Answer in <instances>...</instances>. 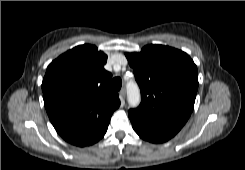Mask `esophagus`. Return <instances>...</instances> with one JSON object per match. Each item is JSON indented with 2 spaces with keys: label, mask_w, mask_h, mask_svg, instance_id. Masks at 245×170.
Here are the masks:
<instances>
[{
  "label": "esophagus",
  "mask_w": 245,
  "mask_h": 170,
  "mask_svg": "<svg viewBox=\"0 0 245 170\" xmlns=\"http://www.w3.org/2000/svg\"><path fill=\"white\" fill-rule=\"evenodd\" d=\"M125 95H126V91L124 88H122L119 92V96H120V99L121 101L124 103V98H125Z\"/></svg>",
  "instance_id": "obj_1"
}]
</instances>
